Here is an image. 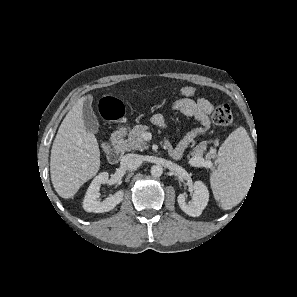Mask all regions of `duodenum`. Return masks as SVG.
<instances>
[{"instance_id":"410a0bca","label":"duodenum","mask_w":297,"mask_h":297,"mask_svg":"<svg viewBox=\"0 0 297 297\" xmlns=\"http://www.w3.org/2000/svg\"><path fill=\"white\" fill-rule=\"evenodd\" d=\"M126 129L124 127L115 131L111 136V146L107 153L110 163L116 164L121 160L124 153V137Z\"/></svg>"}]
</instances>
